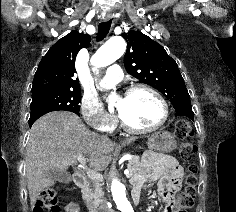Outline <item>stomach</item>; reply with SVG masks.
Masks as SVG:
<instances>
[{"instance_id": "obj_1", "label": "stomach", "mask_w": 236, "mask_h": 212, "mask_svg": "<svg viewBox=\"0 0 236 212\" xmlns=\"http://www.w3.org/2000/svg\"><path fill=\"white\" fill-rule=\"evenodd\" d=\"M148 147L152 151L170 153L176 147V141L170 132L158 131L149 137Z\"/></svg>"}]
</instances>
